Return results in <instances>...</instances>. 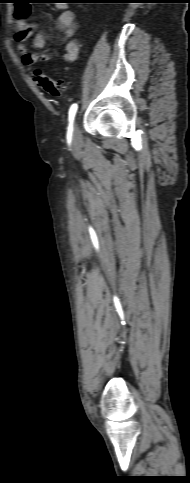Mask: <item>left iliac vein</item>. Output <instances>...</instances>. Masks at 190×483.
<instances>
[{"label":"left iliac vein","instance_id":"1","mask_svg":"<svg viewBox=\"0 0 190 483\" xmlns=\"http://www.w3.org/2000/svg\"><path fill=\"white\" fill-rule=\"evenodd\" d=\"M80 139H81L80 129H79L77 121H74L71 140H72L73 143H78L80 141Z\"/></svg>","mask_w":190,"mask_h":483}]
</instances>
